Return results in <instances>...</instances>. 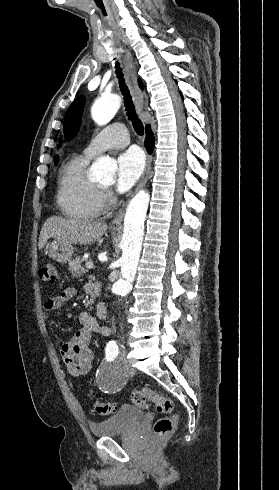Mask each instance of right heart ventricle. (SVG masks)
I'll return each mask as SVG.
<instances>
[{
  "mask_svg": "<svg viewBox=\"0 0 279 490\" xmlns=\"http://www.w3.org/2000/svg\"><path fill=\"white\" fill-rule=\"evenodd\" d=\"M88 161L85 155L75 156L60 174L58 203L63 215L71 220L89 221L101 213L102 190L85 175Z\"/></svg>",
  "mask_w": 279,
  "mask_h": 490,
  "instance_id": "e07e8e85",
  "label": "right heart ventricle"
}]
</instances>
